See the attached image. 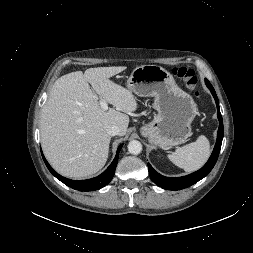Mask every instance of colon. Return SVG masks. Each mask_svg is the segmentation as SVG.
<instances>
[{"mask_svg":"<svg viewBox=\"0 0 253 253\" xmlns=\"http://www.w3.org/2000/svg\"><path fill=\"white\" fill-rule=\"evenodd\" d=\"M172 74L181 79L186 87L193 91L194 96L199 97L200 92L197 89L198 78L192 69L185 67H178L172 69Z\"/></svg>","mask_w":253,"mask_h":253,"instance_id":"1","label":"colon"}]
</instances>
